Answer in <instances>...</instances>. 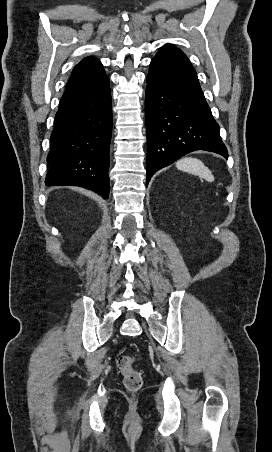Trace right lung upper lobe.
Here are the masks:
<instances>
[{"label":"right lung upper lobe","instance_id":"obj_1","mask_svg":"<svg viewBox=\"0 0 272 452\" xmlns=\"http://www.w3.org/2000/svg\"><path fill=\"white\" fill-rule=\"evenodd\" d=\"M105 76L101 62L95 57H86L74 67L66 90L94 84Z\"/></svg>","mask_w":272,"mask_h":452}]
</instances>
